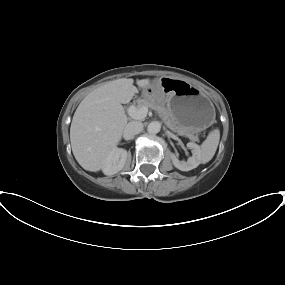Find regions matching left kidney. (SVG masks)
<instances>
[{
    "mask_svg": "<svg viewBox=\"0 0 285 285\" xmlns=\"http://www.w3.org/2000/svg\"><path fill=\"white\" fill-rule=\"evenodd\" d=\"M187 147L191 149L192 152V156L188 158L187 162L179 161L175 154H171L173 165L181 171H190L201 163V149L199 145L189 142L187 143Z\"/></svg>",
    "mask_w": 285,
    "mask_h": 285,
    "instance_id": "obj_1",
    "label": "left kidney"
}]
</instances>
